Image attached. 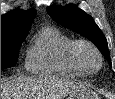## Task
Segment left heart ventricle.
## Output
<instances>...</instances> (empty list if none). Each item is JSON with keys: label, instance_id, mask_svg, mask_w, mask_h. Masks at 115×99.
<instances>
[{"label": "left heart ventricle", "instance_id": "1", "mask_svg": "<svg viewBox=\"0 0 115 99\" xmlns=\"http://www.w3.org/2000/svg\"><path fill=\"white\" fill-rule=\"evenodd\" d=\"M80 56L85 66L90 70H95L99 65L96 54L89 48H81Z\"/></svg>", "mask_w": 115, "mask_h": 99}]
</instances>
